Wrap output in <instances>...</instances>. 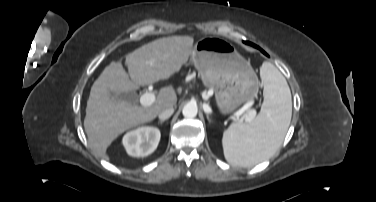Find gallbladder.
I'll return each instance as SVG.
<instances>
[{
    "label": "gallbladder",
    "mask_w": 376,
    "mask_h": 202,
    "mask_svg": "<svg viewBox=\"0 0 376 202\" xmlns=\"http://www.w3.org/2000/svg\"><path fill=\"white\" fill-rule=\"evenodd\" d=\"M109 94L117 101H127L134 95V92L120 93L116 91H110Z\"/></svg>",
    "instance_id": "obj_1"
}]
</instances>
